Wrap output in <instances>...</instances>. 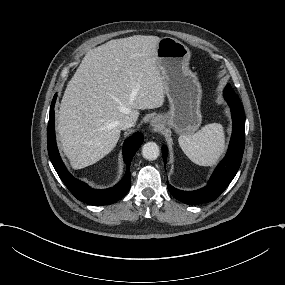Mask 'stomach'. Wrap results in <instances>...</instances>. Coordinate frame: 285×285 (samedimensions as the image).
<instances>
[{
	"label": "stomach",
	"mask_w": 285,
	"mask_h": 285,
	"mask_svg": "<svg viewBox=\"0 0 285 285\" xmlns=\"http://www.w3.org/2000/svg\"><path fill=\"white\" fill-rule=\"evenodd\" d=\"M190 51L181 42L165 37L157 47V64L167 86L171 104L168 116L158 115L162 126L168 124L178 132L195 131L200 122L201 87L189 69Z\"/></svg>",
	"instance_id": "1"
}]
</instances>
